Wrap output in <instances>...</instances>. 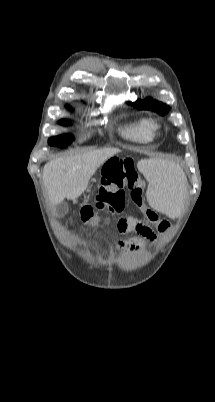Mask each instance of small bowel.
<instances>
[{"label":"small bowel","instance_id":"obj_1","mask_svg":"<svg viewBox=\"0 0 215 402\" xmlns=\"http://www.w3.org/2000/svg\"><path fill=\"white\" fill-rule=\"evenodd\" d=\"M131 231L137 232L140 237H134L129 240H117L114 242L115 248L124 253L139 252L145 247L147 241L153 242L157 240L156 234L141 221H138L137 226L133 229L121 230L123 233Z\"/></svg>","mask_w":215,"mask_h":402}]
</instances>
